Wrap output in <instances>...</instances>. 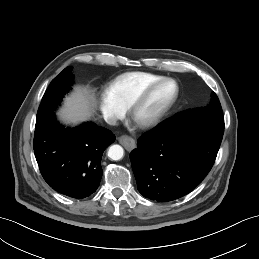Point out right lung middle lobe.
Wrapping results in <instances>:
<instances>
[{"label":"right lung middle lobe","instance_id":"dd1d6c3e","mask_svg":"<svg viewBox=\"0 0 259 259\" xmlns=\"http://www.w3.org/2000/svg\"><path fill=\"white\" fill-rule=\"evenodd\" d=\"M72 81L71 67L64 69L52 80L38 108L35 128L41 126L50 115L54 114V110L61 103L62 97L70 91Z\"/></svg>","mask_w":259,"mask_h":259}]
</instances>
